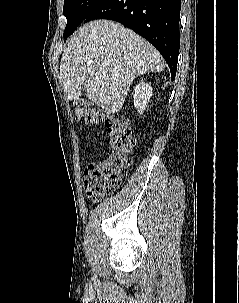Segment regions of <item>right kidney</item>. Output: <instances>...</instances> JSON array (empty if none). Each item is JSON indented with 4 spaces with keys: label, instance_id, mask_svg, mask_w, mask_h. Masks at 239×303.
<instances>
[{
    "label": "right kidney",
    "instance_id": "ca27d5eb",
    "mask_svg": "<svg viewBox=\"0 0 239 303\" xmlns=\"http://www.w3.org/2000/svg\"><path fill=\"white\" fill-rule=\"evenodd\" d=\"M152 97V87L150 84L141 82L134 87V106L141 115L143 111L147 108V104Z\"/></svg>",
    "mask_w": 239,
    "mask_h": 303
}]
</instances>
